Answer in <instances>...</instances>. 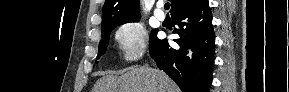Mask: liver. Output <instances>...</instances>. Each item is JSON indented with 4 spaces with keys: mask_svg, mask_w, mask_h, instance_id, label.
Returning <instances> with one entry per match:
<instances>
[{
    "mask_svg": "<svg viewBox=\"0 0 289 92\" xmlns=\"http://www.w3.org/2000/svg\"><path fill=\"white\" fill-rule=\"evenodd\" d=\"M93 92H179L166 73L149 67H132L126 73L100 78Z\"/></svg>",
    "mask_w": 289,
    "mask_h": 92,
    "instance_id": "liver-1",
    "label": "liver"
}]
</instances>
